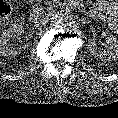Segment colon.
I'll return each instance as SVG.
<instances>
[{"label":"colon","instance_id":"colon-1","mask_svg":"<svg viewBox=\"0 0 118 118\" xmlns=\"http://www.w3.org/2000/svg\"><path fill=\"white\" fill-rule=\"evenodd\" d=\"M12 14L10 0H0V25L9 21Z\"/></svg>","mask_w":118,"mask_h":118}]
</instances>
